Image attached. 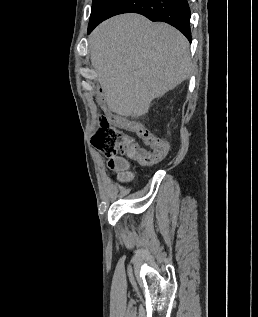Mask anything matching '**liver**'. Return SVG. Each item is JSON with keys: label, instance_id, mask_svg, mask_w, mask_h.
I'll use <instances>...</instances> for the list:
<instances>
[{"label": "liver", "instance_id": "liver-1", "mask_svg": "<svg viewBox=\"0 0 258 317\" xmlns=\"http://www.w3.org/2000/svg\"><path fill=\"white\" fill-rule=\"evenodd\" d=\"M91 62L105 100L116 114L142 116L151 100L189 78V42L166 22L118 14L89 34Z\"/></svg>", "mask_w": 258, "mask_h": 317}]
</instances>
